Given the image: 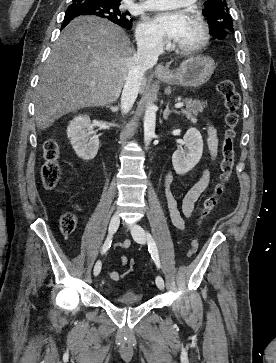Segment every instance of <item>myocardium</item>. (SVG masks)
<instances>
[{
	"label": "myocardium",
	"mask_w": 276,
	"mask_h": 363,
	"mask_svg": "<svg viewBox=\"0 0 276 363\" xmlns=\"http://www.w3.org/2000/svg\"><path fill=\"white\" fill-rule=\"evenodd\" d=\"M190 18L197 23V25L200 28V38L199 40L191 45H177L175 44V49L180 52L181 54H185V55H190V54H195L200 52L202 49L205 48V46L207 45L209 38H210V33H209V27L208 24L206 22V20L204 19V17L197 13V12H190Z\"/></svg>",
	"instance_id": "f54148a6"
}]
</instances>
